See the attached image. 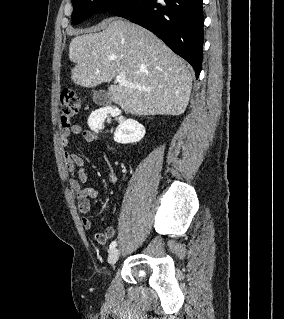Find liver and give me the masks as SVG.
<instances>
[{
	"label": "liver",
	"mask_w": 284,
	"mask_h": 319,
	"mask_svg": "<svg viewBox=\"0 0 284 319\" xmlns=\"http://www.w3.org/2000/svg\"><path fill=\"white\" fill-rule=\"evenodd\" d=\"M74 37L69 59L77 85L95 87L117 75L140 85L109 87L111 100L134 115H180L189 103L192 73L187 63L143 27L116 19L101 32ZM117 83V82H116Z\"/></svg>",
	"instance_id": "obj_1"
}]
</instances>
